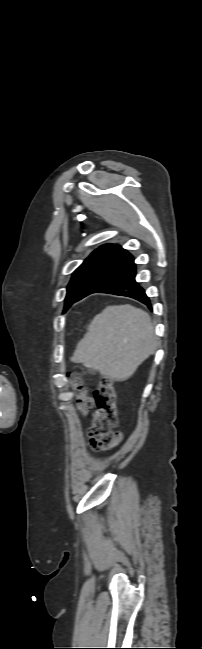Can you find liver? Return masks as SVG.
Instances as JSON below:
<instances>
[{
  "mask_svg": "<svg viewBox=\"0 0 202 649\" xmlns=\"http://www.w3.org/2000/svg\"><path fill=\"white\" fill-rule=\"evenodd\" d=\"M157 340L150 316L131 305L106 307L94 317L71 361L125 381L154 353Z\"/></svg>",
  "mask_w": 202,
  "mask_h": 649,
  "instance_id": "6515ba94",
  "label": "liver"
}]
</instances>
